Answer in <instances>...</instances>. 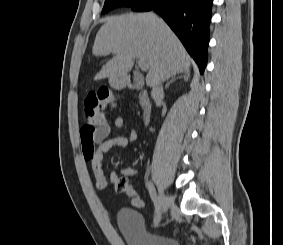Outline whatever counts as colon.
Instances as JSON below:
<instances>
[{
  "label": "colon",
  "mask_w": 283,
  "mask_h": 245,
  "mask_svg": "<svg viewBox=\"0 0 283 245\" xmlns=\"http://www.w3.org/2000/svg\"><path fill=\"white\" fill-rule=\"evenodd\" d=\"M115 105L116 99L107 90H100L96 93L89 94L85 99V124L88 126L103 124L105 122L104 111ZM115 189L118 193L126 194L135 208L141 209L145 206V202L129 184L127 178L120 177L115 183Z\"/></svg>",
  "instance_id": "obj_1"
}]
</instances>
